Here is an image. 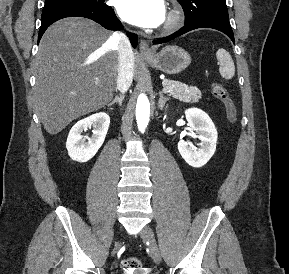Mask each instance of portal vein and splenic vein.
<instances>
[{
    "instance_id": "portal-vein-and-splenic-vein-1",
    "label": "portal vein and splenic vein",
    "mask_w": 289,
    "mask_h": 274,
    "mask_svg": "<svg viewBox=\"0 0 289 274\" xmlns=\"http://www.w3.org/2000/svg\"><path fill=\"white\" fill-rule=\"evenodd\" d=\"M171 90L168 88V87H164L163 88V92L167 93V92H170Z\"/></svg>"
}]
</instances>
